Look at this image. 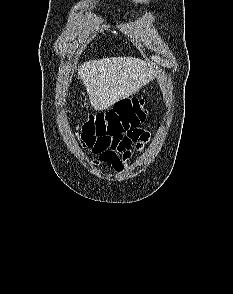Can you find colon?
<instances>
[{"label": "colon", "instance_id": "colon-1", "mask_svg": "<svg viewBox=\"0 0 233 294\" xmlns=\"http://www.w3.org/2000/svg\"><path fill=\"white\" fill-rule=\"evenodd\" d=\"M146 115L143 98L124 99L112 110L91 116L80 126L79 134L83 143L97 152L120 150L131 138L126 133L136 132Z\"/></svg>", "mask_w": 233, "mask_h": 294}]
</instances>
